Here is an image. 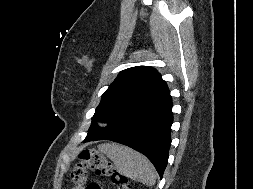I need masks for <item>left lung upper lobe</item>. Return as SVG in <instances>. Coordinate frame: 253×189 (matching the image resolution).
<instances>
[{
  "label": "left lung upper lobe",
  "mask_w": 253,
  "mask_h": 189,
  "mask_svg": "<svg viewBox=\"0 0 253 189\" xmlns=\"http://www.w3.org/2000/svg\"><path fill=\"white\" fill-rule=\"evenodd\" d=\"M168 93L166 82L152 67L136 66L121 71L102 95L87 135L115 129L139 112L158 103ZM101 116L108 122L105 128H99L96 124Z\"/></svg>",
  "instance_id": "left-lung-upper-lobe-1"
}]
</instances>
